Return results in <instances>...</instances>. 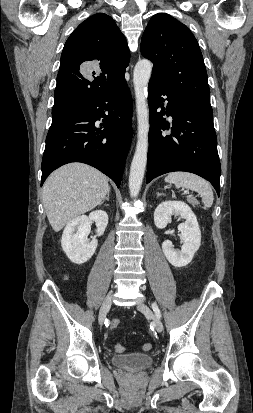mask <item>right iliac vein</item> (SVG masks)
<instances>
[{
	"label": "right iliac vein",
	"mask_w": 253,
	"mask_h": 413,
	"mask_svg": "<svg viewBox=\"0 0 253 413\" xmlns=\"http://www.w3.org/2000/svg\"><path fill=\"white\" fill-rule=\"evenodd\" d=\"M112 304V293L108 294L106 296V298L104 299L101 308H100V312H99V317H98V322L100 325H103L106 314L108 313L110 307Z\"/></svg>",
	"instance_id": "right-iliac-vein-1"
}]
</instances>
